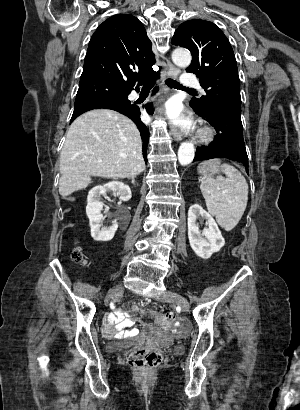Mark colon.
Returning <instances> with one entry per match:
<instances>
[{
  "label": "colon",
  "instance_id": "5ec220e1",
  "mask_svg": "<svg viewBox=\"0 0 300 410\" xmlns=\"http://www.w3.org/2000/svg\"><path fill=\"white\" fill-rule=\"evenodd\" d=\"M72 260L76 263H82L83 254L79 249H74L72 252ZM176 320V316L172 312L158 313L154 320L161 325L172 324ZM128 364L134 369L143 374L151 372L158 367L162 361L161 354L152 347L143 346L131 351L127 357Z\"/></svg>",
  "mask_w": 300,
  "mask_h": 410
}]
</instances>
